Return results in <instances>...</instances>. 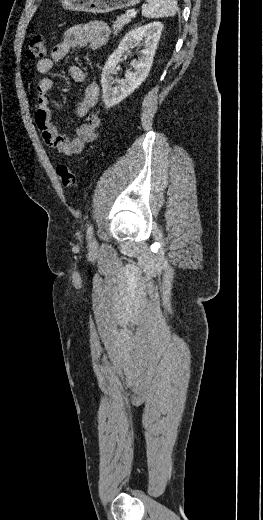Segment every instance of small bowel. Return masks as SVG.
<instances>
[{"label":"small bowel","instance_id":"small-bowel-1","mask_svg":"<svg viewBox=\"0 0 263 520\" xmlns=\"http://www.w3.org/2000/svg\"><path fill=\"white\" fill-rule=\"evenodd\" d=\"M108 36L109 28L103 22L76 24L70 27L64 33L63 40L52 48L50 58H42L36 63V71L42 76L36 86L35 123L45 143L59 153L67 156L78 154L97 138L101 118L91 113V110L97 103L99 87L95 82L86 84L76 106V115L84 118V123L77 128L73 136H69L61 133L52 123L48 93L53 86V81L46 75L52 70L54 63L63 60L72 50L88 47L96 51L105 44ZM69 73L75 82H86L85 72L78 65L70 66Z\"/></svg>","mask_w":263,"mask_h":520}]
</instances>
